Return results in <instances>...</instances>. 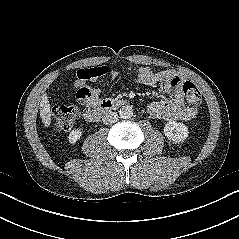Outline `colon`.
<instances>
[{"mask_svg":"<svg viewBox=\"0 0 239 239\" xmlns=\"http://www.w3.org/2000/svg\"><path fill=\"white\" fill-rule=\"evenodd\" d=\"M106 72L105 68L91 71L88 76H98ZM182 91L189 104L197 106L201 103V92L191 81L182 83ZM54 127L57 131H69L77 117V109L74 106H59L53 111Z\"/></svg>","mask_w":239,"mask_h":239,"instance_id":"colon-1","label":"colon"}]
</instances>
